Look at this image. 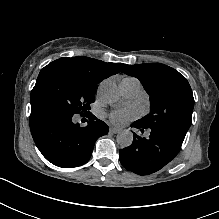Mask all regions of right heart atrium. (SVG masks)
Listing matches in <instances>:
<instances>
[{
	"mask_svg": "<svg viewBox=\"0 0 219 219\" xmlns=\"http://www.w3.org/2000/svg\"><path fill=\"white\" fill-rule=\"evenodd\" d=\"M98 95H99V90L96 91V96H98Z\"/></svg>",
	"mask_w": 219,
	"mask_h": 219,
	"instance_id": "obj_1",
	"label": "right heart atrium"
}]
</instances>
